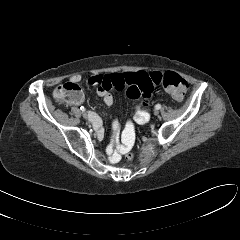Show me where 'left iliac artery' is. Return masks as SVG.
I'll return each instance as SVG.
<instances>
[{"instance_id": "obj_1", "label": "left iliac artery", "mask_w": 240, "mask_h": 240, "mask_svg": "<svg viewBox=\"0 0 240 240\" xmlns=\"http://www.w3.org/2000/svg\"><path fill=\"white\" fill-rule=\"evenodd\" d=\"M161 108L160 104L155 105V109L159 110Z\"/></svg>"}]
</instances>
